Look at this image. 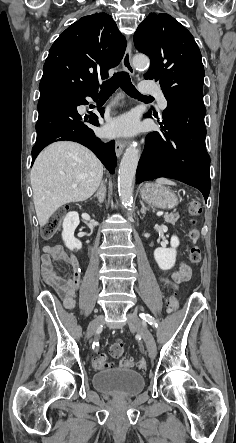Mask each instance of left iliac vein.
<instances>
[{"instance_id": "obj_1", "label": "left iliac vein", "mask_w": 236, "mask_h": 443, "mask_svg": "<svg viewBox=\"0 0 236 443\" xmlns=\"http://www.w3.org/2000/svg\"><path fill=\"white\" fill-rule=\"evenodd\" d=\"M128 317V324L130 328L135 329L138 331L144 338L145 344L148 349V353L150 358L154 359L156 356L157 348H156V342L151 334V332L143 325L142 320L133 313H129L127 315Z\"/></svg>"}]
</instances>
